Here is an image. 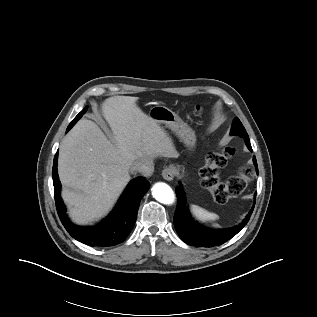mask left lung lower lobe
Listing matches in <instances>:
<instances>
[{"label":"left lung lower lobe","mask_w":317,"mask_h":317,"mask_svg":"<svg viewBox=\"0 0 317 317\" xmlns=\"http://www.w3.org/2000/svg\"><path fill=\"white\" fill-rule=\"evenodd\" d=\"M249 150L252 151L251 144L246 141ZM253 162L258 174V167L256 157L253 156ZM177 195V209L174 215V226L179 237L188 245L196 247H214L222 245L233 236H235L249 221L254 209V205L246 218L238 226L229 229H209L196 223L188 211L186 200L181 187L176 188ZM256 196V193H255Z\"/></svg>","instance_id":"1"}]
</instances>
